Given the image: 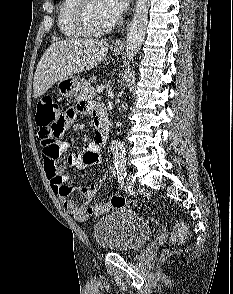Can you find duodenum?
I'll return each mask as SVG.
<instances>
[{"instance_id": "410a0bca", "label": "duodenum", "mask_w": 233, "mask_h": 294, "mask_svg": "<svg viewBox=\"0 0 233 294\" xmlns=\"http://www.w3.org/2000/svg\"><path fill=\"white\" fill-rule=\"evenodd\" d=\"M95 133L99 142L104 143L108 138L109 120L106 110L101 105L94 108Z\"/></svg>"}]
</instances>
